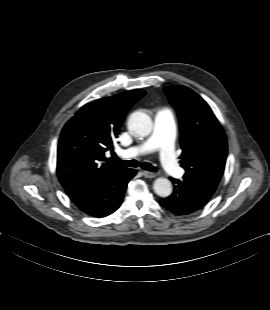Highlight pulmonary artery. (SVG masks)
Instances as JSON below:
<instances>
[{"label": "pulmonary artery", "instance_id": "e3ab8cb5", "mask_svg": "<svg viewBox=\"0 0 270 310\" xmlns=\"http://www.w3.org/2000/svg\"><path fill=\"white\" fill-rule=\"evenodd\" d=\"M176 123L174 113L168 108H160L154 117V129L141 144L124 151L126 157L160 151V160L165 170L172 176L181 177L183 168L178 164L174 153Z\"/></svg>", "mask_w": 270, "mask_h": 310}]
</instances>
